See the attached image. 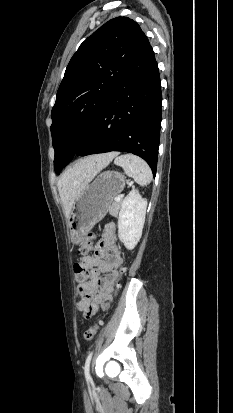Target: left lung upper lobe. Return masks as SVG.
<instances>
[{"label": "left lung upper lobe", "instance_id": "obj_1", "mask_svg": "<svg viewBox=\"0 0 233 413\" xmlns=\"http://www.w3.org/2000/svg\"><path fill=\"white\" fill-rule=\"evenodd\" d=\"M145 37L138 23L117 17L88 37L71 58L51 112L57 174L85 143Z\"/></svg>", "mask_w": 233, "mask_h": 413}]
</instances>
